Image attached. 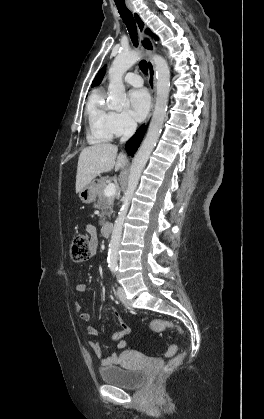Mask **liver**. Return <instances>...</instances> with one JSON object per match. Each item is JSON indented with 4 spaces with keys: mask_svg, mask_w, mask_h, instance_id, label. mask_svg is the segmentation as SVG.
I'll use <instances>...</instances> for the list:
<instances>
[{
    "mask_svg": "<svg viewBox=\"0 0 264 419\" xmlns=\"http://www.w3.org/2000/svg\"><path fill=\"white\" fill-rule=\"evenodd\" d=\"M117 152V146L110 143H100L83 149L78 159L76 193L90 184L99 174L109 172L113 168L115 172L124 168L127 163L126 155L123 153L117 155Z\"/></svg>",
    "mask_w": 264,
    "mask_h": 419,
    "instance_id": "obj_1",
    "label": "liver"
}]
</instances>
